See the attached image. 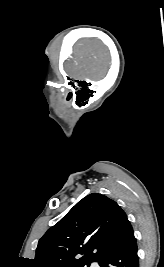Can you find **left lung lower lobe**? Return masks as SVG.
<instances>
[{
	"mask_svg": "<svg viewBox=\"0 0 164 267\" xmlns=\"http://www.w3.org/2000/svg\"><path fill=\"white\" fill-rule=\"evenodd\" d=\"M99 265L100 267H139L136 239L129 221L106 249Z\"/></svg>",
	"mask_w": 164,
	"mask_h": 267,
	"instance_id": "0a47b994",
	"label": "left lung lower lobe"
}]
</instances>
